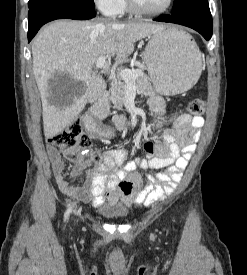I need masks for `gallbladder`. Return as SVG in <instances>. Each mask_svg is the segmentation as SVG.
<instances>
[{
	"instance_id": "bac80fb5",
	"label": "gallbladder",
	"mask_w": 247,
	"mask_h": 275,
	"mask_svg": "<svg viewBox=\"0 0 247 275\" xmlns=\"http://www.w3.org/2000/svg\"><path fill=\"white\" fill-rule=\"evenodd\" d=\"M79 82L66 73H56L48 83V92L53 95H74Z\"/></svg>"
}]
</instances>
